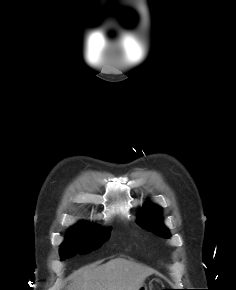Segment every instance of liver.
I'll return each instance as SVG.
<instances>
[{"label":"liver","instance_id":"1","mask_svg":"<svg viewBox=\"0 0 236 290\" xmlns=\"http://www.w3.org/2000/svg\"><path fill=\"white\" fill-rule=\"evenodd\" d=\"M150 274V269L134 261L116 258L79 269L65 290H138Z\"/></svg>","mask_w":236,"mask_h":290}]
</instances>
